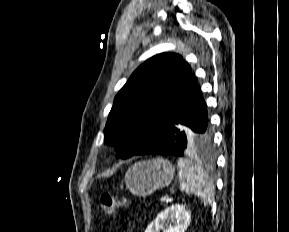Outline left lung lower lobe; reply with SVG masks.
I'll return each mask as SVG.
<instances>
[{
	"mask_svg": "<svg viewBox=\"0 0 289 232\" xmlns=\"http://www.w3.org/2000/svg\"><path fill=\"white\" fill-rule=\"evenodd\" d=\"M212 130L202 93L197 86L186 95L169 122L134 155L184 156L212 148Z\"/></svg>",
	"mask_w": 289,
	"mask_h": 232,
	"instance_id": "obj_1",
	"label": "left lung lower lobe"
}]
</instances>
